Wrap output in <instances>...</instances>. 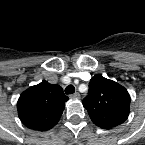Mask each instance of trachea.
Wrapping results in <instances>:
<instances>
[{
    "instance_id": "obj_1",
    "label": "trachea",
    "mask_w": 145,
    "mask_h": 145,
    "mask_svg": "<svg viewBox=\"0 0 145 145\" xmlns=\"http://www.w3.org/2000/svg\"><path fill=\"white\" fill-rule=\"evenodd\" d=\"M75 92V87L73 85H68L65 88V93L66 94H73Z\"/></svg>"
}]
</instances>
